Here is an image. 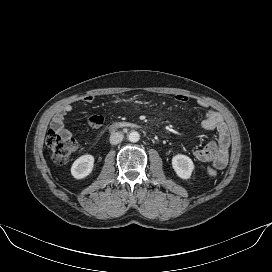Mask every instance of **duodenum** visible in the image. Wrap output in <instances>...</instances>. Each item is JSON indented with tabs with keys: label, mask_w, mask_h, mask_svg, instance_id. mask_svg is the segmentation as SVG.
I'll list each match as a JSON object with an SVG mask.
<instances>
[{
	"label": "duodenum",
	"mask_w": 272,
	"mask_h": 272,
	"mask_svg": "<svg viewBox=\"0 0 272 272\" xmlns=\"http://www.w3.org/2000/svg\"><path fill=\"white\" fill-rule=\"evenodd\" d=\"M134 124L126 123V122H117L110 126L112 130L119 129V128H128V127H134Z\"/></svg>",
	"instance_id": "410a0bca"
}]
</instances>
